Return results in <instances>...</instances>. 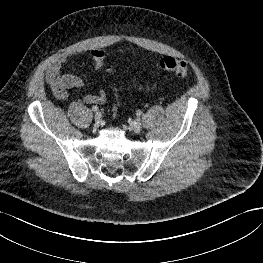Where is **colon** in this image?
I'll list each match as a JSON object with an SVG mask.
<instances>
[{
	"instance_id": "colon-1",
	"label": "colon",
	"mask_w": 263,
	"mask_h": 263,
	"mask_svg": "<svg viewBox=\"0 0 263 263\" xmlns=\"http://www.w3.org/2000/svg\"><path fill=\"white\" fill-rule=\"evenodd\" d=\"M158 67L161 70L172 73L178 77L187 78L189 76L188 65L186 61L181 58L166 56L159 61ZM112 69V67H109V70Z\"/></svg>"
}]
</instances>
